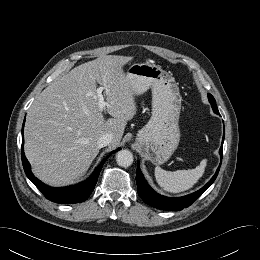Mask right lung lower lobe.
Wrapping results in <instances>:
<instances>
[{
    "label": "right lung lower lobe",
    "instance_id": "1",
    "mask_svg": "<svg viewBox=\"0 0 260 260\" xmlns=\"http://www.w3.org/2000/svg\"><path fill=\"white\" fill-rule=\"evenodd\" d=\"M25 122V120H24ZM24 127V126H23ZM22 138H23V128H22ZM24 142V141H22ZM23 146V143H22ZM120 150L117 149L114 152ZM113 152V153H114ZM22 163L24 171L27 175V177L31 180V182L42 192V194L49 199L50 201L61 203V204H69V203H80L85 201L89 195L94 190L97 179L99 176V173L101 171V168L104 164V160L102 163L95 169L93 174L84 182L74 185L71 187L66 188H52L44 183H42L40 180H38L31 172V167L28 162V160L25 157L23 147H22Z\"/></svg>",
    "mask_w": 260,
    "mask_h": 260
}]
</instances>
